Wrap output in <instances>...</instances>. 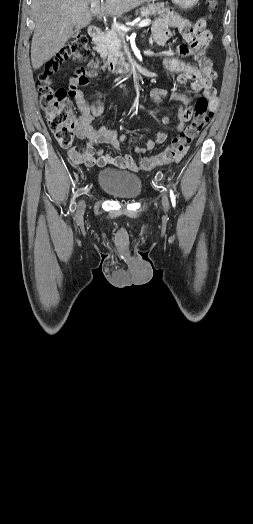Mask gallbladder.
<instances>
[{"mask_svg": "<svg viewBox=\"0 0 253 524\" xmlns=\"http://www.w3.org/2000/svg\"><path fill=\"white\" fill-rule=\"evenodd\" d=\"M78 33H79V29L75 30L72 37H75Z\"/></svg>", "mask_w": 253, "mask_h": 524, "instance_id": "obj_1", "label": "gallbladder"}]
</instances>
